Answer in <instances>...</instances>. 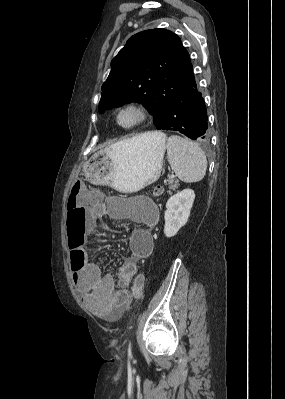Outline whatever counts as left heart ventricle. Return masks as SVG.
I'll return each instance as SVG.
<instances>
[{
    "label": "left heart ventricle",
    "mask_w": 285,
    "mask_h": 399,
    "mask_svg": "<svg viewBox=\"0 0 285 399\" xmlns=\"http://www.w3.org/2000/svg\"><path fill=\"white\" fill-rule=\"evenodd\" d=\"M136 116L134 113L128 112L121 116V123L124 125H129L134 122Z\"/></svg>",
    "instance_id": "1"
}]
</instances>
